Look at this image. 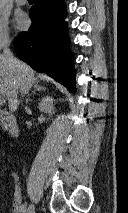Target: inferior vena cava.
Segmentation results:
<instances>
[{
	"label": "inferior vena cava",
	"instance_id": "inferior-vena-cava-1",
	"mask_svg": "<svg viewBox=\"0 0 128 213\" xmlns=\"http://www.w3.org/2000/svg\"><path fill=\"white\" fill-rule=\"evenodd\" d=\"M11 41L9 38H6L3 43H2V48H3V54L4 56L8 59V61L15 65L16 64V60L13 57V54L11 53L10 49H9V45H10Z\"/></svg>",
	"mask_w": 128,
	"mask_h": 213
}]
</instances>
